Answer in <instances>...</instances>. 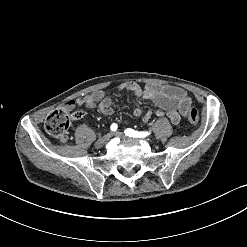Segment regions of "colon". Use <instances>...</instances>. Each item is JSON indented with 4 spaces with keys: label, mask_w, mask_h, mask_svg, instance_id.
<instances>
[{
    "label": "colon",
    "mask_w": 247,
    "mask_h": 247,
    "mask_svg": "<svg viewBox=\"0 0 247 247\" xmlns=\"http://www.w3.org/2000/svg\"><path fill=\"white\" fill-rule=\"evenodd\" d=\"M186 116L194 126L198 125L197 110L194 107L187 108ZM71 123L69 112L54 110L45 118L44 128L60 142L66 143L71 139Z\"/></svg>",
    "instance_id": "1"
}]
</instances>
